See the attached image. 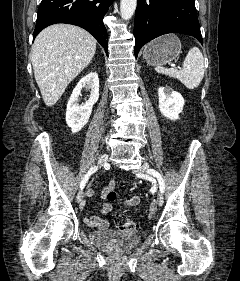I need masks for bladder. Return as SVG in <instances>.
<instances>
[{"label": "bladder", "instance_id": "obj_1", "mask_svg": "<svg viewBox=\"0 0 240 281\" xmlns=\"http://www.w3.org/2000/svg\"><path fill=\"white\" fill-rule=\"evenodd\" d=\"M89 238L98 247L122 252L137 246L142 239V235L141 233H125L101 229L90 232Z\"/></svg>", "mask_w": 240, "mask_h": 281}]
</instances>
